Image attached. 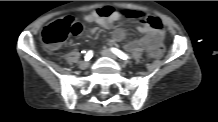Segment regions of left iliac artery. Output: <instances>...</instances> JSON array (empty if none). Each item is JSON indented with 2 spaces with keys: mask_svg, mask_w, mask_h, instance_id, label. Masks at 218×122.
I'll use <instances>...</instances> for the list:
<instances>
[{
  "mask_svg": "<svg viewBox=\"0 0 218 122\" xmlns=\"http://www.w3.org/2000/svg\"><path fill=\"white\" fill-rule=\"evenodd\" d=\"M111 51L115 54V55H117L119 58H121V59H123V60H128V59H130V57L127 55V54H125L124 52H122L121 50H119V49H117V48H111Z\"/></svg>",
  "mask_w": 218,
  "mask_h": 122,
  "instance_id": "1",
  "label": "left iliac artery"
}]
</instances>
